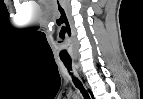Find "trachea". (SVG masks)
Masks as SVG:
<instances>
[{"label":"trachea","instance_id":"1","mask_svg":"<svg viewBox=\"0 0 143 99\" xmlns=\"http://www.w3.org/2000/svg\"><path fill=\"white\" fill-rule=\"evenodd\" d=\"M64 65L67 67V69L70 71L71 70V60H62ZM73 81L76 85L77 88L80 89L81 93L83 94L85 99H89V96L87 92L84 90V87L82 86L81 82L77 78H73Z\"/></svg>","mask_w":143,"mask_h":99}]
</instances>
